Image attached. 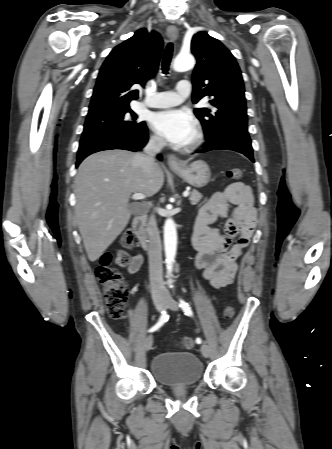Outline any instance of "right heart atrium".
I'll use <instances>...</instances> for the list:
<instances>
[{"label":"right heart atrium","instance_id":"obj_1","mask_svg":"<svg viewBox=\"0 0 332 449\" xmlns=\"http://www.w3.org/2000/svg\"><path fill=\"white\" fill-rule=\"evenodd\" d=\"M149 141L152 145L156 147H161L164 144L162 138L156 134H152L149 138Z\"/></svg>","mask_w":332,"mask_h":449}]
</instances>
